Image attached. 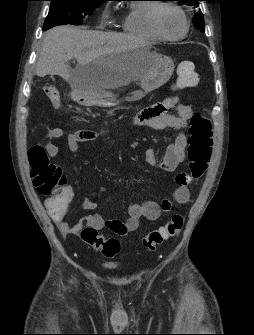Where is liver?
<instances>
[{
  "instance_id": "liver-1",
  "label": "liver",
  "mask_w": 254,
  "mask_h": 335,
  "mask_svg": "<svg viewBox=\"0 0 254 335\" xmlns=\"http://www.w3.org/2000/svg\"><path fill=\"white\" fill-rule=\"evenodd\" d=\"M144 44L137 38L116 32L82 30L69 25L47 31L36 66V75H58L74 88L116 89L141 79L151 68L152 55L121 57ZM77 59L70 70L68 62ZM99 67L88 68L94 61Z\"/></svg>"
}]
</instances>
